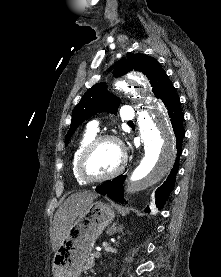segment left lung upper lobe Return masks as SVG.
<instances>
[{"mask_svg": "<svg viewBox=\"0 0 221 277\" xmlns=\"http://www.w3.org/2000/svg\"><path fill=\"white\" fill-rule=\"evenodd\" d=\"M135 70L145 74L153 87V93L157 98L163 99L164 95L172 87L167 74L159 62L144 54H132L128 59L118 63L114 70L115 76H121L128 71ZM120 99L106 91L105 84H95L82 97L72 112L70 129L66 135V145L77 127L97 112L109 111L115 113Z\"/></svg>", "mask_w": 221, "mask_h": 277, "instance_id": "1", "label": "left lung upper lobe"}]
</instances>
